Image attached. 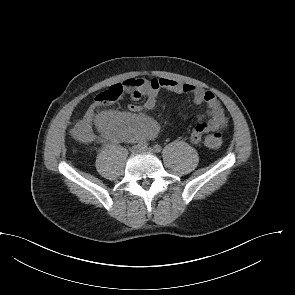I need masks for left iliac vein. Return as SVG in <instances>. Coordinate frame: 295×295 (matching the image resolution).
<instances>
[{
    "label": "left iliac vein",
    "mask_w": 295,
    "mask_h": 295,
    "mask_svg": "<svg viewBox=\"0 0 295 295\" xmlns=\"http://www.w3.org/2000/svg\"><path fill=\"white\" fill-rule=\"evenodd\" d=\"M141 151H144V152H148V153H154V148L152 147H141Z\"/></svg>",
    "instance_id": "4c4485c4"
}]
</instances>
